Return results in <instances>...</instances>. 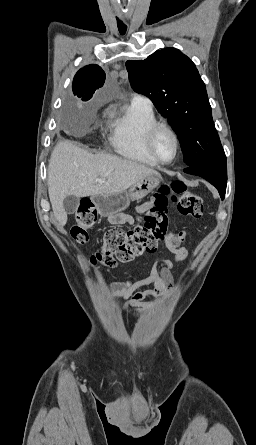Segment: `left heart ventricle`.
I'll return each mask as SVG.
<instances>
[{
    "instance_id": "1",
    "label": "left heart ventricle",
    "mask_w": 256,
    "mask_h": 445,
    "mask_svg": "<svg viewBox=\"0 0 256 445\" xmlns=\"http://www.w3.org/2000/svg\"><path fill=\"white\" fill-rule=\"evenodd\" d=\"M155 149L158 156L164 160L169 161L173 158L176 146L173 137L166 130H161L155 140Z\"/></svg>"
}]
</instances>
